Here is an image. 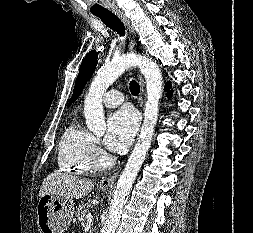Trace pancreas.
<instances>
[{
    "label": "pancreas",
    "mask_w": 253,
    "mask_h": 233,
    "mask_svg": "<svg viewBox=\"0 0 253 233\" xmlns=\"http://www.w3.org/2000/svg\"><path fill=\"white\" fill-rule=\"evenodd\" d=\"M91 205L82 203L79 208L76 210L74 220H78L82 225L86 222L87 214L90 212Z\"/></svg>",
    "instance_id": "pancreas-1"
}]
</instances>
